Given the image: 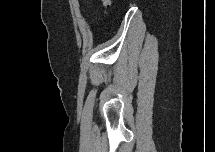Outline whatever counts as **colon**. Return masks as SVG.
<instances>
[{
	"instance_id": "1",
	"label": "colon",
	"mask_w": 215,
	"mask_h": 152,
	"mask_svg": "<svg viewBox=\"0 0 215 152\" xmlns=\"http://www.w3.org/2000/svg\"><path fill=\"white\" fill-rule=\"evenodd\" d=\"M111 0H102V6L104 8V14H106L107 9L111 6Z\"/></svg>"
}]
</instances>
